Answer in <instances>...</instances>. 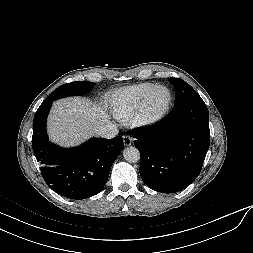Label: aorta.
Listing matches in <instances>:
<instances>
[{
    "mask_svg": "<svg viewBox=\"0 0 253 253\" xmlns=\"http://www.w3.org/2000/svg\"><path fill=\"white\" fill-rule=\"evenodd\" d=\"M123 157L129 163H136L140 160V152L136 147H127L123 151Z\"/></svg>",
    "mask_w": 253,
    "mask_h": 253,
    "instance_id": "1",
    "label": "aorta"
}]
</instances>
